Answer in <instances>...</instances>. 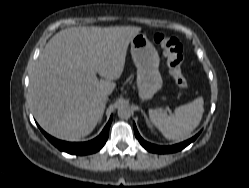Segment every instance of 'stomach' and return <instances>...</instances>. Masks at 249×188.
<instances>
[{
    "mask_svg": "<svg viewBox=\"0 0 249 188\" xmlns=\"http://www.w3.org/2000/svg\"><path fill=\"white\" fill-rule=\"evenodd\" d=\"M131 55L137 68V87L139 96L151 98L162 87L159 72L158 52L145 34L138 33L130 41Z\"/></svg>",
    "mask_w": 249,
    "mask_h": 188,
    "instance_id": "stomach-1",
    "label": "stomach"
}]
</instances>
